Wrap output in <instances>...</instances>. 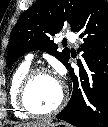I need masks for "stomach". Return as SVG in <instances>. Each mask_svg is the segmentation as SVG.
I'll return each mask as SVG.
<instances>
[{
  "mask_svg": "<svg viewBox=\"0 0 108 127\" xmlns=\"http://www.w3.org/2000/svg\"><path fill=\"white\" fill-rule=\"evenodd\" d=\"M45 127H72L70 124L66 122H50Z\"/></svg>",
  "mask_w": 108,
  "mask_h": 127,
  "instance_id": "obj_1",
  "label": "stomach"
}]
</instances>
